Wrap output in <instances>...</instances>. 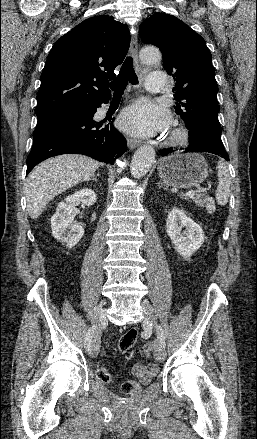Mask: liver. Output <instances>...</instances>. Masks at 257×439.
I'll use <instances>...</instances> for the list:
<instances>
[{"label": "liver", "mask_w": 257, "mask_h": 439, "mask_svg": "<svg viewBox=\"0 0 257 439\" xmlns=\"http://www.w3.org/2000/svg\"><path fill=\"white\" fill-rule=\"evenodd\" d=\"M100 163L82 155L65 154L53 157L36 167L25 185L27 210L38 218L55 196L74 185L90 180Z\"/></svg>", "instance_id": "1"}]
</instances>
